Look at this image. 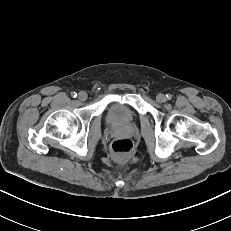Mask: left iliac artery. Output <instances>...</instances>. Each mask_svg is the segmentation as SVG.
<instances>
[{
  "instance_id": "1",
  "label": "left iliac artery",
  "mask_w": 231,
  "mask_h": 231,
  "mask_svg": "<svg viewBox=\"0 0 231 231\" xmlns=\"http://www.w3.org/2000/svg\"><path fill=\"white\" fill-rule=\"evenodd\" d=\"M166 98L168 99V100H170L171 98H172V95L171 94H166Z\"/></svg>"
}]
</instances>
